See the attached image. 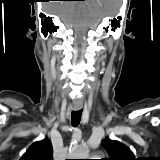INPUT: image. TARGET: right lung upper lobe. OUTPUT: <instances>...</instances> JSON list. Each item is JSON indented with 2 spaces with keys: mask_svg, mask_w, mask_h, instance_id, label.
Instances as JSON below:
<instances>
[{
  "mask_svg": "<svg viewBox=\"0 0 160 160\" xmlns=\"http://www.w3.org/2000/svg\"><path fill=\"white\" fill-rule=\"evenodd\" d=\"M53 148L50 141L44 140L33 143L23 154L20 160H53Z\"/></svg>",
  "mask_w": 160,
  "mask_h": 160,
  "instance_id": "right-lung-upper-lobe-1",
  "label": "right lung upper lobe"
}]
</instances>
